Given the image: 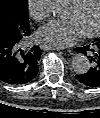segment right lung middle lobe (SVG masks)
I'll return each mask as SVG.
<instances>
[{"label": "right lung middle lobe", "mask_w": 100, "mask_h": 118, "mask_svg": "<svg viewBox=\"0 0 100 118\" xmlns=\"http://www.w3.org/2000/svg\"><path fill=\"white\" fill-rule=\"evenodd\" d=\"M28 0H0V41L20 39L30 33Z\"/></svg>", "instance_id": "right-lung-middle-lobe-1"}]
</instances>
